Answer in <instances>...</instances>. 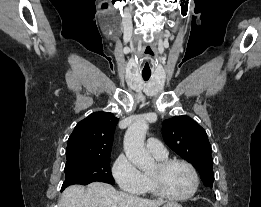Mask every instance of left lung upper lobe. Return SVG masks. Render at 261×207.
Segmentation results:
<instances>
[{
	"mask_svg": "<svg viewBox=\"0 0 261 207\" xmlns=\"http://www.w3.org/2000/svg\"><path fill=\"white\" fill-rule=\"evenodd\" d=\"M162 135L174 152L198 170L204 185L212 188L213 160L205 130L188 116H174L163 122Z\"/></svg>",
	"mask_w": 261,
	"mask_h": 207,
	"instance_id": "5c2ea615",
	"label": "left lung upper lobe"
}]
</instances>
